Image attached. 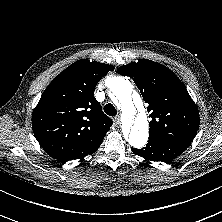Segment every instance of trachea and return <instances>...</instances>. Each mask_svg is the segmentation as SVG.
Returning a JSON list of instances; mask_svg holds the SVG:
<instances>
[{
	"instance_id": "obj_1",
	"label": "trachea",
	"mask_w": 222,
	"mask_h": 222,
	"mask_svg": "<svg viewBox=\"0 0 222 222\" xmlns=\"http://www.w3.org/2000/svg\"><path fill=\"white\" fill-rule=\"evenodd\" d=\"M104 112L109 116H115L117 114L116 108L111 103H108L104 106Z\"/></svg>"
}]
</instances>
